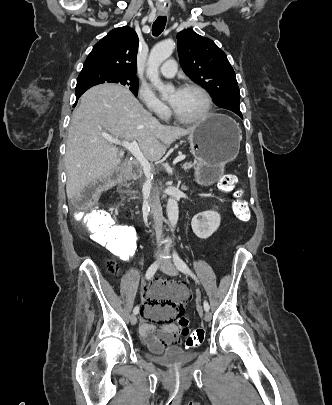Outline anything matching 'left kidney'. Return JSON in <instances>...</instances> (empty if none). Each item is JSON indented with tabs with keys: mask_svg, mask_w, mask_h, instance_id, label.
Wrapping results in <instances>:
<instances>
[{
	"mask_svg": "<svg viewBox=\"0 0 332 405\" xmlns=\"http://www.w3.org/2000/svg\"><path fill=\"white\" fill-rule=\"evenodd\" d=\"M220 214L213 210L196 214L191 221L194 234L200 239L209 238L220 226Z\"/></svg>",
	"mask_w": 332,
	"mask_h": 405,
	"instance_id": "1",
	"label": "left kidney"
}]
</instances>
